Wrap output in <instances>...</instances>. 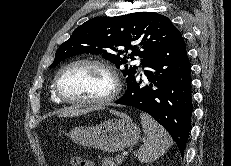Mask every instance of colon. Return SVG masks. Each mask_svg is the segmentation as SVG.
<instances>
[{
	"instance_id": "1",
	"label": "colon",
	"mask_w": 231,
	"mask_h": 166,
	"mask_svg": "<svg viewBox=\"0 0 231 166\" xmlns=\"http://www.w3.org/2000/svg\"><path fill=\"white\" fill-rule=\"evenodd\" d=\"M71 166H92V164L88 160H82L80 158H73L71 160Z\"/></svg>"
}]
</instances>
